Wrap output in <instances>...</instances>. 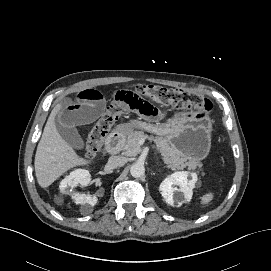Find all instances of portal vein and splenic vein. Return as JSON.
Instances as JSON below:
<instances>
[{"label":"portal vein and splenic vein","instance_id":"18ae733b","mask_svg":"<svg viewBox=\"0 0 271 271\" xmlns=\"http://www.w3.org/2000/svg\"><path fill=\"white\" fill-rule=\"evenodd\" d=\"M143 143H144V140L141 139V140L139 141V144L141 145V144H143Z\"/></svg>","mask_w":271,"mask_h":271}]
</instances>
